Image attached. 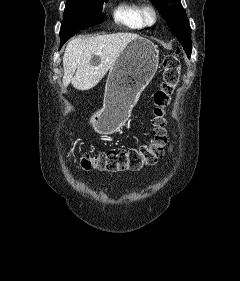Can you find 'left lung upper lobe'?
<instances>
[{
	"label": "left lung upper lobe",
	"mask_w": 240,
	"mask_h": 281,
	"mask_svg": "<svg viewBox=\"0 0 240 281\" xmlns=\"http://www.w3.org/2000/svg\"><path fill=\"white\" fill-rule=\"evenodd\" d=\"M159 13L167 20L172 34L183 46L187 56H191V28L180 0H150Z\"/></svg>",
	"instance_id": "obj_1"
}]
</instances>
